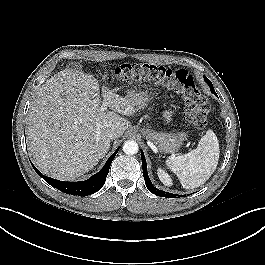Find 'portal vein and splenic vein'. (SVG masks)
<instances>
[{
	"instance_id": "1",
	"label": "portal vein and splenic vein",
	"mask_w": 265,
	"mask_h": 265,
	"mask_svg": "<svg viewBox=\"0 0 265 265\" xmlns=\"http://www.w3.org/2000/svg\"><path fill=\"white\" fill-rule=\"evenodd\" d=\"M107 109V102L106 101H103L101 107H100V111L101 112H104L105 110Z\"/></svg>"
}]
</instances>
